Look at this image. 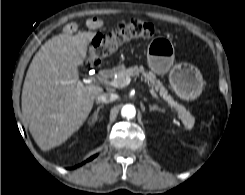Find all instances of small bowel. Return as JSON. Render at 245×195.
<instances>
[{
  "label": "small bowel",
  "instance_id": "1",
  "mask_svg": "<svg viewBox=\"0 0 245 195\" xmlns=\"http://www.w3.org/2000/svg\"><path fill=\"white\" fill-rule=\"evenodd\" d=\"M86 25L89 29H98L102 26V21L98 18H90L87 20ZM64 33L72 34L77 31V25L75 23H68L64 26Z\"/></svg>",
  "mask_w": 245,
  "mask_h": 195
}]
</instances>
